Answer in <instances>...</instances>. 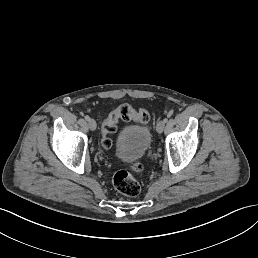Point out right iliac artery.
Returning a JSON list of instances; mask_svg holds the SVG:
<instances>
[{
	"mask_svg": "<svg viewBox=\"0 0 258 258\" xmlns=\"http://www.w3.org/2000/svg\"><path fill=\"white\" fill-rule=\"evenodd\" d=\"M84 118H85L86 121L90 120V117L88 115H86Z\"/></svg>",
	"mask_w": 258,
	"mask_h": 258,
	"instance_id": "obj_1",
	"label": "right iliac artery"
}]
</instances>
